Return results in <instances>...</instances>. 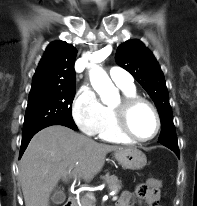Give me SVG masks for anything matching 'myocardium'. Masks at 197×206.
Listing matches in <instances>:
<instances>
[{"label":"myocardium","mask_w":197,"mask_h":206,"mask_svg":"<svg viewBox=\"0 0 197 206\" xmlns=\"http://www.w3.org/2000/svg\"><path fill=\"white\" fill-rule=\"evenodd\" d=\"M138 105H146L153 113L156 121L154 133L146 138L136 136L129 124L131 111ZM114 122L119 133L125 138L135 142H148L154 139L161 129V118L155 105L144 97L138 95H124L112 108Z\"/></svg>","instance_id":"obj_1"}]
</instances>
